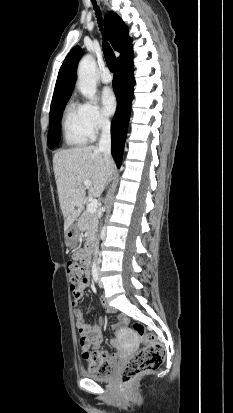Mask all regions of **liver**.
<instances>
[{
	"instance_id": "obj_1",
	"label": "liver",
	"mask_w": 233,
	"mask_h": 413,
	"mask_svg": "<svg viewBox=\"0 0 233 413\" xmlns=\"http://www.w3.org/2000/svg\"><path fill=\"white\" fill-rule=\"evenodd\" d=\"M113 168L97 146L75 147L56 152L53 156V170L57 185L60 209L64 217V232L81 213L85 200V180L91 181L88 195L102 194Z\"/></svg>"
}]
</instances>
